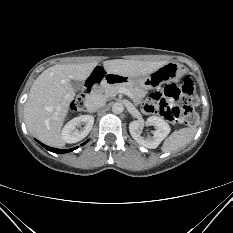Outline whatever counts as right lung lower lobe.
I'll list each match as a JSON object with an SVG mask.
<instances>
[{"label": "right lung lower lobe", "instance_id": "right-lung-lower-lobe-1", "mask_svg": "<svg viewBox=\"0 0 233 233\" xmlns=\"http://www.w3.org/2000/svg\"><path fill=\"white\" fill-rule=\"evenodd\" d=\"M38 143H40L39 141H37ZM86 143V142H85ZM85 143H83L82 145H84ZM43 147H45L46 149L48 148L46 145L40 143ZM77 148V147H76ZM76 148H72V149H69V150H62V149H56V148H52L50 147L49 150L51 152H54V153H67V152H70V151H73L75 150Z\"/></svg>", "mask_w": 233, "mask_h": 233}]
</instances>
